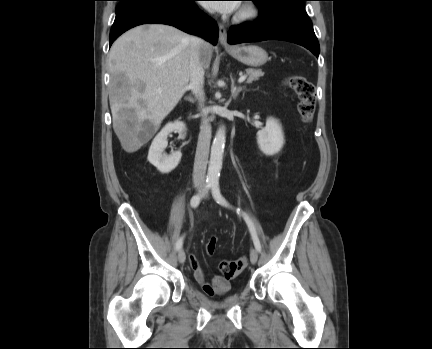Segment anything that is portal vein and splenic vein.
I'll list each match as a JSON object with an SVG mask.
<instances>
[{
  "instance_id": "obj_1",
  "label": "portal vein and splenic vein",
  "mask_w": 432,
  "mask_h": 349,
  "mask_svg": "<svg viewBox=\"0 0 432 349\" xmlns=\"http://www.w3.org/2000/svg\"><path fill=\"white\" fill-rule=\"evenodd\" d=\"M245 79H246V75H243L238 79V82L241 83V82L245 81Z\"/></svg>"
}]
</instances>
